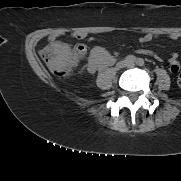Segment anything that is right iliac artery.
I'll use <instances>...</instances> for the list:
<instances>
[{"instance_id": "82829eb1", "label": "right iliac artery", "mask_w": 181, "mask_h": 181, "mask_svg": "<svg viewBox=\"0 0 181 181\" xmlns=\"http://www.w3.org/2000/svg\"><path fill=\"white\" fill-rule=\"evenodd\" d=\"M125 61L127 63H134L136 61V57L134 55H128L126 56Z\"/></svg>"}]
</instances>
